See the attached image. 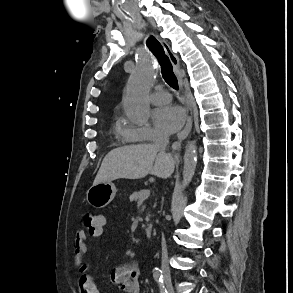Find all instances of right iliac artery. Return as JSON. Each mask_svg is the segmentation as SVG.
Instances as JSON below:
<instances>
[{
  "mask_svg": "<svg viewBox=\"0 0 293 293\" xmlns=\"http://www.w3.org/2000/svg\"><path fill=\"white\" fill-rule=\"evenodd\" d=\"M153 277L155 279V281L158 283L159 287H160V292L161 293H167V290L163 284V275H162V271L159 268H154L153 269Z\"/></svg>",
  "mask_w": 293,
  "mask_h": 293,
  "instance_id": "right-iliac-artery-1",
  "label": "right iliac artery"
}]
</instances>
